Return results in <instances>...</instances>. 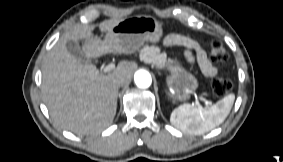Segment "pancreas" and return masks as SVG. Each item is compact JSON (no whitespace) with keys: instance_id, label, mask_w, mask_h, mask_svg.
Masks as SVG:
<instances>
[{"instance_id":"1","label":"pancreas","mask_w":283,"mask_h":162,"mask_svg":"<svg viewBox=\"0 0 283 162\" xmlns=\"http://www.w3.org/2000/svg\"><path fill=\"white\" fill-rule=\"evenodd\" d=\"M141 58L147 63H153L158 68H162L166 61L165 56L160 55L157 49L150 47H145L141 51Z\"/></svg>"}]
</instances>
